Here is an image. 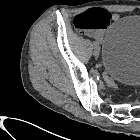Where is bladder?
Returning <instances> with one entry per match:
<instances>
[{"mask_svg":"<svg viewBox=\"0 0 140 140\" xmlns=\"http://www.w3.org/2000/svg\"><path fill=\"white\" fill-rule=\"evenodd\" d=\"M106 73L126 85H140V16L116 21L106 32L102 52Z\"/></svg>","mask_w":140,"mask_h":140,"instance_id":"1","label":"bladder"}]
</instances>
